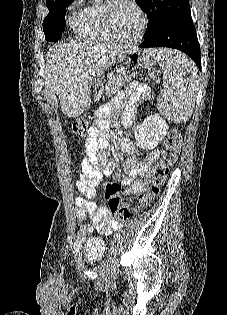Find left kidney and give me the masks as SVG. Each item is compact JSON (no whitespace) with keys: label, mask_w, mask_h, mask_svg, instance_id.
<instances>
[{"label":"left kidney","mask_w":227,"mask_h":315,"mask_svg":"<svg viewBox=\"0 0 227 315\" xmlns=\"http://www.w3.org/2000/svg\"><path fill=\"white\" fill-rule=\"evenodd\" d=\"M168 125L159 115H151L144 120L143 124L135 129L137 145L146 150L154 149L166 136Z\"/></svg>","instance_id":"obj_1"}]
</instances>
